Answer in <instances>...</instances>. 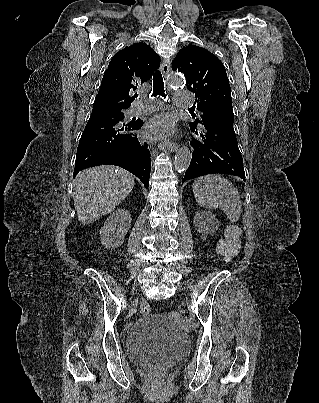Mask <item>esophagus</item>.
<instances>
[{
  "label": "esophagus",
  "instance_id": "obj_1",
  "mask_svg": "<svg viewBox=\"0 0 319 403\" xmlns=\"http://www.w3.org/2000/svg\"><path fill=\"white\" fill-rule=\"evenodd\" d=\"M160 70H161L163 76L166 77L170 70V61L167 59H164L161 63ZM165 144H166L167 149L171 152H174L178 149V144L175 142H171L168 140V141H166Z\"/></svg>",
  "mask_w": 319,
  "mask_h": 403
}]
</instances>
